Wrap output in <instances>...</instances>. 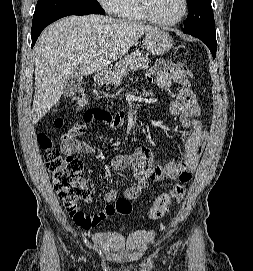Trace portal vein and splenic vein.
<instances>
[{
	"mask_svg": "<svg viewBox=\"0 0 253 271\" xmlns=\"http://www.w3.org/2000/svg\"><path fill=\"white\" fill-rule=\"evenodd\" d=\"M104 51H105V49L102 48V49L98 50V53H103Z\"/></svg>",
	"mask_w": 253,
	"mask_h": 271,
	"instance_id": "18ae733b",
	"label": "portal vein and splenic vein"
}]
</instances>
